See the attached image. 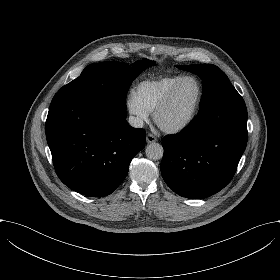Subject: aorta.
Masks as SVG:
<instances>
[{"mask_svg":"<svg viewBox=\"0 0 280 280\" xmlns=\"http://www.w3.org/2000/svg\"><path fill=\"white\" fill-rule=\"evenodd\" d=\"M145 152L147 158H149L150 160H159L163 157L164 150L162 145L154 142L147 145Z\"/></svg>","mask_w":280,"mask_h":280,"instance_id":"obj_1","label":"aorta"}]
</instances>
